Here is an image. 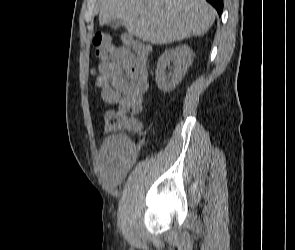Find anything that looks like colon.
Returning a JSON list of instances; mask_svg holds the SVG:
<instances>
[{
  "label": "colon",
  "instance_id": "colon-1",
  "mask_svg": "<svg viewBox=\"0 0 295 250\" xmlns=\"http://www.w3.org/2000/svg\"><path fill=\"white\" fill-rule=\"evenodd\" d=\"M125 47L132 54H141L147 52V47L139 40L125 36L123 38ZM94 52L98 58V72L100 74L108 72L112 67L116 46L109 34L97 33L93 39ZM140 111L138 108L121 105L116 109L107 110L103 115V121L106 129L127 128L138 130L141 127L140 122L134 118V115Z\"/></svg>",
  "mask_w": 295,
  "mask_h": 250
}]
</instances>
